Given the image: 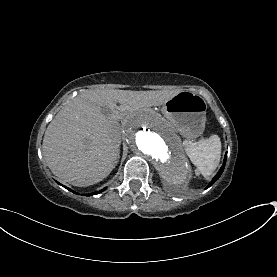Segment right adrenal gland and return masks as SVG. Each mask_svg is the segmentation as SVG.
Here are the masks:
<instances>
[{"label":"right adrenal gland","instance_id":"2a0ac1e0","mask_svg":"<svg viewBox=\"0 0 277 277\" xmlns=\"http://www.w3.org/2000/svg\"><path fill=\"white\" fill-rule=\"evenodd\" d=\"M119 159H120V154L118 153L117 159H116V164L119 162Z\"/></svg>","mask_w":277,"mask_h":277}]
</instances>
